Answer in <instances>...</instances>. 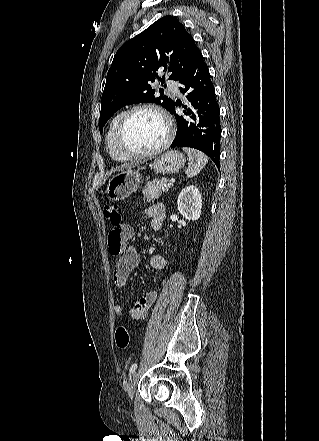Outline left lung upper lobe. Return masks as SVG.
I'll return each mask as SVG.
<instances>
[{
	"mask_svg": "<svg viewBox=\"0 0 319 441\" xmlns=\"http://www.w3.org/2000/svg\"><path fill=\"white\" fill-rule=\"evenodd\" d=\"M200 50L176 17L165 16L119 48L108 71L101 99L100 133L110 117L121 107L154 102L168 111L174 101L155 97L150 86L158 78L159 68L171 72L178 81L192 65ZM165 87V86H164ZM161 92V90H159Z\"/></svg>",
	"mask_w": 319,
	"mask_h": 441,
	"instance_id": "5c2ea615",
	"label": "left lung upper lobe"
}]
</instances>
